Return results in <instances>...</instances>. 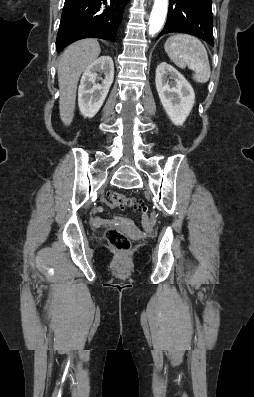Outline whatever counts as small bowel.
<instances>
[{
  "mask_svg": "<svg viewBox=\"0 0 254 397\" xmlns=\"http://www.w3.org/2000/svg\"><path fill=\"white\" fill-rule=\"evenodd\" d=\"M106 205H110L107 200L103 201ZM104 210L103 206H97L94 208V212H102ZM90 224L94 227H101V226H114V225H126L130 226V223L122 218H115L114 220H106L96 216L91 215L89 218ZM144 228L146 231H150L151 226L149 220H144Z\"/></svg>",
  "mask_w": 254,
  "mask_h": 397,
  "instance_id": "small-bowel-1",
  "label": "small bowel"
}]
</instances>
